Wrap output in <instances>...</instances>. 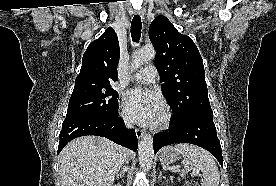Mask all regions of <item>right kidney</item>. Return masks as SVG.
Instances as JSON below:
<instances>
[{
    "label": "right kidney",
    "instance_id": "right-kidney-1",
    "mask_svg": "<svg viewBox=\"0 0 276 186\" xmlns=\"http://www.w3.org/2000/svg\"><path fill=\"white\" fill-rule=\"evenodd\" d=\"M115 186H121L120 184H117V185H115Z\"/></svg>",
    "mask_w": 276,
    "mask_h": 186
}]
</instances>
